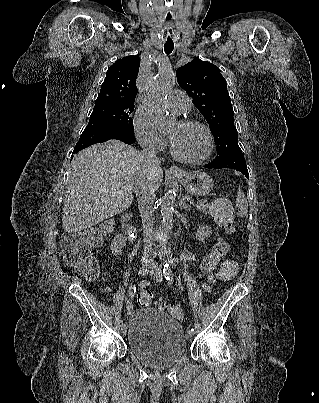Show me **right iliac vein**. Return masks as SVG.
Segmentation results:
<instances>
[{"label":"right iliac vein","instance_id":"right-iliac-vein-1","mask_svg":"<svg viewBox=\"0 0 319 403\" xmlns=\"http://www.w3.org/2000/svg\"><path fill=\"white\" fill-rule=\"evenodd\" d=\"M150 271H151V266H149V265H147V264H143V265L141 266V268H140V275H141V276H146ZM126 332H127V328H126V326H123V327L121 328V333H122L123 335H126Z\"/></svg>","mask_w":319,"mask_h":403}]
</instances>
